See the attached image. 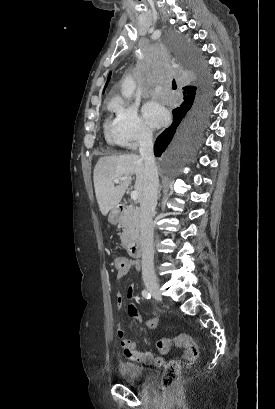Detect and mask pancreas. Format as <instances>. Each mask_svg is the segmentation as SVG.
<instances>
[{
	"instance_id": "obj_1",
	"label": "pancreas",
	"mask_w": 275,
	"mask_h": 409,
	"mask_svg": "<svg viewBox=\"0 0 275 409\" xmlns=\"http://www.w3.org/2000/svg\"><path fill=\"white\" fill-rule=\"evenodd\" d=\"M119 225L123 227V233L120 237L122 247L128 249L133 241L139 237L140 225L138 209H136V207H126L120 217Z\"/></svg>"
}]
</instances>
